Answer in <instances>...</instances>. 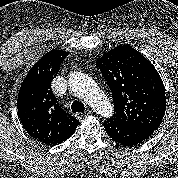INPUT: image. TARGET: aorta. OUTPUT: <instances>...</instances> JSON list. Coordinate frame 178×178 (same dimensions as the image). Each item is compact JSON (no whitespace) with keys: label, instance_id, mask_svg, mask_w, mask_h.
<instances>
[{"label":"aorta","instance_id":"1","mask_svg":"<svg viewBox=\"0 0 178 178\" xmlns=\"http://www.w3.org/2000/svg\"><path fill=\"white\" fill-rule=\"evenodd\" d=\"M69 87L78 97L84 99L102 117L113 114V106L107 96L86 73L74 72L69 77Z\"/></svg>","mask_w":178,"mask_h":178}]
</instances>
